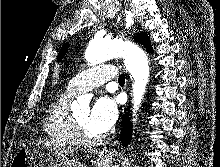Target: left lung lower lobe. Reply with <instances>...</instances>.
Segmentation results:
<instances>
[{"label": "left lung lower lobe", "instance_id": "1", "mask_svg": "<svg viewBox=\"0 0 220 167\" xmlns=\"http://www.w3.org/2000/svg\"><path fill=\"white\" fill-rule=\"evenodd\" d=\"M129 118L128 116H124V126L121 132L120 140L123 143V145L127 146L131 139V124L128 122Z\"/></svg>", "mask_w": 220, "mask_h": 167}]
</instances>
